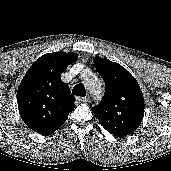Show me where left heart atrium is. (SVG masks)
Returning <instances> with one entry per match:
<instances>
[{
  "label": "left heart atrium",
  "instance_id": "39dd6f15",
  "mask_svg": "<svg viewBox=\"0 0 171 171\" xmlns=\"http://www.w3.org/2000/svg\"><path fill=\"white\" fill-rule=\"evenodd\" d=\"M95 82H96V81H93V80L90 82L91 87H94V86H95V84H96Z\"/></svg>",
  "mask_w": 171,
  "mask_h": 171
}]
</instances>
